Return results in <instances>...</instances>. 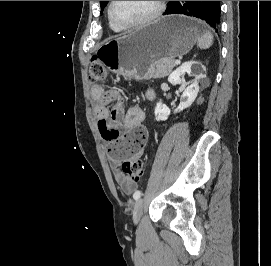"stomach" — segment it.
Listing matches in <instances>:
<instances>
[{"instance_id":"stomach-1","label":"stomach","mask_w":271,"mask_h":266,"mask_svg":"<svg viewBox=\"0 0 271 266\" xmlns=\"http://www.w3.org/2000/svg\"><path fill=\"white\" fill-rule=\"evenodd\" d=\"M203 34L200 21L173 15L102 44L99 61L111 72L127 78H149L150 66L163 58L187 54Z\"/></svg>"}]
</instances>
